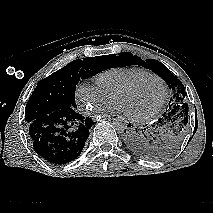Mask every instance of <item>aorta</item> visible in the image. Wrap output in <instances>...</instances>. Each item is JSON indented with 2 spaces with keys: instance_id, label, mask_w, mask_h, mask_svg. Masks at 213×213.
Instances as JSON below:
<instances>
[{
  "instance_id": "obj_1",
  "label": "aorta",
  "mask_w": 213,
  "mask_h": 213,
  "mask_svg": "<svg viewBox=\"0 0 213 213\" xmlns=\"http://www.w3.org/2000/svg\"><path fill=\"white\" fill-rule=\"evenodd\" d=\"M113 127L117 132L123 133L127 129V121L122 116H117L113 119Z\"/></svg>"
}]
</instances>
